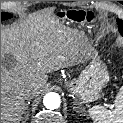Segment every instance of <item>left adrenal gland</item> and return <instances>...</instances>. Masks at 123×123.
Wrapping results in <instances>:
<instances>
[{
    "label": "left adrenal gland",
    "instance_id": "left-adrenal-gland-1",
    "mask_svg": "<svg viewBox=\"0 0 123 123\" xmlns=\"http://www.w3.org/2000/svg\"><path fill=\"white\" fill-rule=\"evenodd\" d=\"M82 111H83V112H85V109H84V108H82ZM83 114H84V113H83Z\"/></svg>",
    "mask_w": 123,
    "mask_h": 123
}]
</instances>
